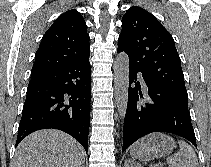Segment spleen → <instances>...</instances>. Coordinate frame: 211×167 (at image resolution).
Wrapping results in <instances>:
<instances>
[{
	"instance_id": "spleen-1",
	"label": "spleen",
	"mask_w": 211,
	"mask_h": 167,
	"mask_svg": "<svg viewBox=\"0 0 211 167\" xmlns=\"http://www.w3.org/2000/svg\"><path fill=\"white\" fill-rule=\"evenodd\" d=\"M180 150L167 158L169 167H199L194 149L184 141H178Z\"/></svg>"
}]
</instances>
